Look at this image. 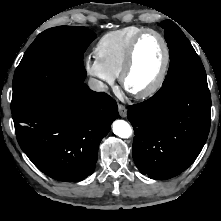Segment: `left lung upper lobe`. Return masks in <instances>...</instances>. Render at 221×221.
I'll return each instance as SVG.
<instances>
[{
    "mask_svg": "<svg viewBox=\"0 0 221 221\" xmlns=\"http://www.w3.org/2000/svg\"><path fill=\"white\" fill-rule=\"evenodd\" d=\"M159 25L165 29L170 54V66L163 85L175 80L207 84L203 64L181 29L171 20H165Z\"/></svg>",
    "mask_w": 221,
    "mask_h": 221,
    "instance_id": "obj_1",
    "label": "left lung upper lobe"
}]
</instances>
